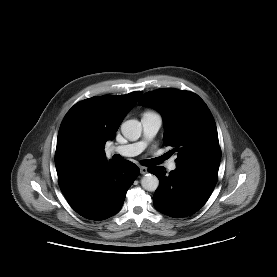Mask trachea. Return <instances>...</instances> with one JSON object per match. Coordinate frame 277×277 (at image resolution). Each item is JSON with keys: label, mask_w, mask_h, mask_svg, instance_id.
I'll return each instance as SVG.
<instances>
[{"label": "trachea", "mask_w": 277, "mask_h": 277, "mask_svg": "<svg viewBox=\"0 0 277 277\" xmlns=\"http://www.w3.org/2000/svg\"><path fill=\"white\" fill-rule=\"evenodd\" d=\"M166 158H167V156L164 155V156L159 157V158L145 160V161L142 162V164H144L146 166H154V165L160 164Z\"/></svg>", "instance_id": "obj_1"}]
</instances>
